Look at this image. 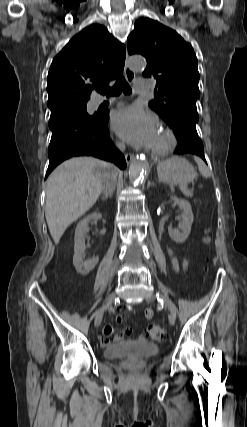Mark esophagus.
<instances>
[{
    "mask_svg": "<svg viewBox=\"0 0 247 427\" xmlns=\"http://www.w3.org/2000/svg\"><path fill=\"white\" fill-rule=\"evenodd\" d=\"M124 74H125V77H126V79H127V81L129 83H132L135 80V73L129 67V64H128V54H126V60H125V66H124ZM125 159H126L127 164H129L134 159V155L131 154V153H127L125 155Z\"/></svg>",
    "mask_w": 247,
    "mask_h": 427,
    "instance_id": "obj_1",
    "label": "esophagus"
}]
</instances>
